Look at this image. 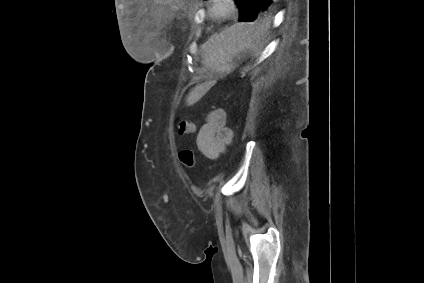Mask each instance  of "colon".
I'll list each match as a JSON object with an SVG mask.
<instances>
[{"instance_id":"1","label":"colon","mask_w":424,"mask_h":283,"mask_svg":"<svg viewBox=\"0 0 424 283\" xmlns=\"http://www.w3.org/2000/svg\"><path fill=\"white\" fill-rule=\"evenodd\" d=\"M195 131V124L191 120L182 119L178 123V133L180 135H190ZM180 161L187 167H193L195 157L192 150L185 149L179 152Z\"/></svg>"}]
</instances>
